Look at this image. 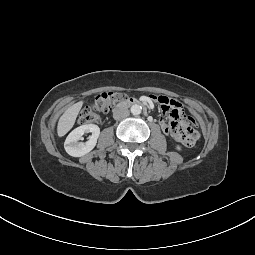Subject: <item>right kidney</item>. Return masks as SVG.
Wrapping results in <instances>:
<instances>
[{
  "instance_id": "ca27d5eb",
  "label": "right kidney",
  "mask_w": 255,
  "mask_h": 255,
  "mask_svg": "<svg viewBox=\"0 0 255 255\" xmlns=\"http://www.w3.org/2000/svg\"><path fill=\"white\" fill-rule=\"evenodd\" d=\"M85 132H91L89 140L86 143L79 142ZM99 134L100 128L97 125L87 124L79 126L67 136L64 148L70 156L81 157L89 153L96 146Z\"/></svg>"
}]
</instances>
